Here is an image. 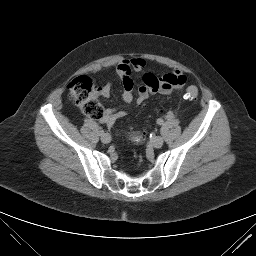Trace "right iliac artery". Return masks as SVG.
Instances as JSON below:
<instances>
[{
    "instance_id": "right-iliac-artery-1",
    "label": "right iliac artery",
    "mask_w": 256,
    "mask_h": 256,
    "mask_svg": "<svg viewBox=\"0 0 256 256\" xmlns=\"http://www.w3.org/2000/svg\"><path fill=\"white\" fill-rule=\"evenodd\" d=\"M104 134H105V133H104L103 130L99 131V135H100V136H102V135H104Z\"/></svg>"
}]
</instances>
